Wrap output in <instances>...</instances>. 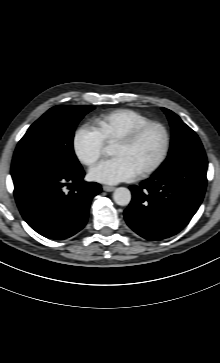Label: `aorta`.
Returning <instances> with one entry per match:
<instances>
[{
  "label": "aorta",
  "mask_w": 220,
  "mask_h": 363,
  "mask_svg": "<svg viewBox=\"0 0 220 363\" xmlns=\"http://www.w3.org/2000/svg\"><path fill=\"white\" fill-rule=\"evenodd\" d=\"M105 150L108 154H112L110 147H106ZM113 199L116 204L120 206H126L131 201V192L125 187L116 188L113 193Z\"/></svg>",
  "instance_id": "obj_1"
}]
</instances>
